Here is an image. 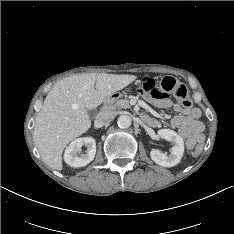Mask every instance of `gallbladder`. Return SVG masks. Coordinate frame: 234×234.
<instances>
[{
	"label": "gallbladder",
	"mask_w": 234,
	"mask_h": 234,
	"mask_svg": "<svg viewBox=\"0 0 234 234\" xmlns=\"http://www.w3.org/2000/svg\"><path fill=\"white\" fill-rule=\"evenodd\" d=\"M93 111H89L88 114H91Z\"/></svg>",
	"instance_id": "obj_1"
}]
</instances>
